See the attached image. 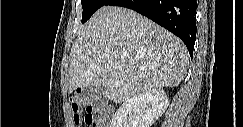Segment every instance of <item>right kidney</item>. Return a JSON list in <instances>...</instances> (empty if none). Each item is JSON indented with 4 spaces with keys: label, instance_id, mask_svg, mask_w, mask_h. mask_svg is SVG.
Here are the masks:
<instances>
[{
    "label": "right kidney",
    "instance_id": "ca27d5eb",
    "mask_svg": "<svg viewBox=\"0 0 243 127\" xmlns=\"http://www.w3.org/2000/svg\"><path fill=\"white\" fill-rule=\"evenodd\" d=\"M169 105L162 89H152L127 99L114 114L111 127H151Z\"/></svg>",
    "mask_w": 243,
    "mask_h": 127
}]
</instances>
